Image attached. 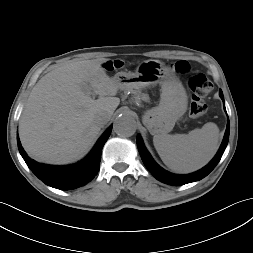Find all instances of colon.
I'll return each instance as SVG.
<instances>
[{
    "instance_id": "5ec220e1",
    "label": "colon",
    "mask_w": 253,
    "mask_h": 253,
    "mask_svg": "<svg viewBox=\"0 0 253 253\" xmlns=\"http://www.w3.org/2000/svg\"><path fill=\"white\" fill-rule=\"evenodd\" d=\"M123 66L121 61L110 62V69H118ZM173 68L179 73H186L189 70V64L186 61H177ZM189 87L192 91V99L189 107V114L192 118H201L207 112V105L204 97L212 90V84L203 74H197L189 79Z\"/></svg>"
}]
</instances>
